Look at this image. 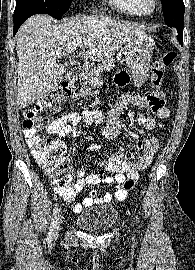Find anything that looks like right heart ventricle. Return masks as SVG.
Returning <instances> with one entry per match:
<instances>
[{"mask_svg":"<svg viewBox=\"0 0 195 270\" xmlns=\"http://www.w3.org/2000/svg\"><path fill=\"white\" fill-rule=\"evenodd\" d=\"M109 2L124 14L132 16L146 15L138 0H109Z\"/></svg>","mask_w":195,"mask_h":270,"instance_id":"1","label":"right heart ventricle"}]
</instances>
